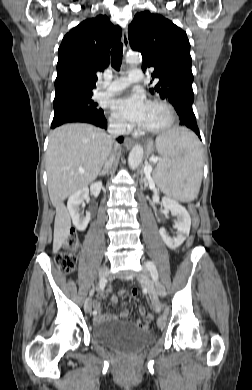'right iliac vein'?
Masks as SVG:
<instances>
[{"label": "right iliac vein", "instance_id": "1", "mask_svg": "<svg viewBox=\"0 0 252 390\" xmlns=\"http://www.w3.org/2000/svg\"><path fill=\"white\" fill-rule=\"evenodd\" d=\"M108 274H109V268L107 266H103L99 270V278L101 276H104L106 278L108 276ZM84 309L87 313L91 314V312H92V299L90 297L86 299L85 304H84Z\"/></svg>", "mask_w": 252, "mask_h": 390}]
</instances>
